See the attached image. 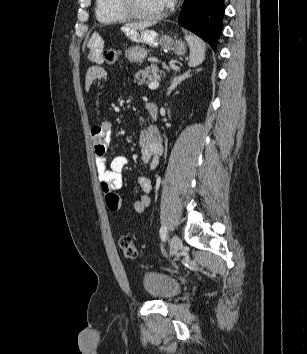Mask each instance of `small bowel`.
<instances>
[{"label":"small bowel","mask_w":307,"mask_h":354,"mask_svg":"<svg viewBox=\"0 0 307 354\" xmlns=\"http://www.w3.org/2000/svg\"><path fill=\"white\" fill-rule=\"evenodd\" d=\"M124 36L125 38H138V29H125ZM103 49L104 44L100 39L90 41L88 59L91 65L87 68L84 79V85L87 91H90L96 81L104 82L107 79V71L103 67ZM146 111L151 118H155L157 115L156 107L152 104L146 105ZM111 135L112 123L109 120H103L91 128L96 158V170L101 189L105 195L106 205L111 211H118L122 208L124 201L116 191L122 186V172L127 165V158L122 155L115 156L110 160L107 166ZM139 145L141 147L144 165L149 169L155 168L163 152L161 136L155 125H149L140 132ZM136 183L143 194L133 203V210L135 213L141 214L150 205L152 182L149 178L140 176L137 178Z\"/></svg>","instance_id":"small-bowel-1"}]
</instances>
